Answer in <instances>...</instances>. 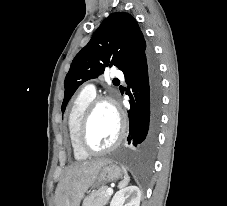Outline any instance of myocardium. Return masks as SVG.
I'll return each instance as SVG.
<instances>
[{
    "mask_svg": "<svg viewBox=\"0 0 227 206\" xmlns=\"http://www.w3.org/2000/svg\"><path fill=\"white\" fill-rule=\"evenodd\" d=\"M101 104H109L110 106L113 107V109L117 114V118L119 122V130H118V135L116 139L111 145L103 149H94L89 144L87 135H88L89 124L93 116V113L96 110V108ZM125 129H126L125 118L118 104L115 102V100L109 96H96L87 105L79 121L78 129H77V144L79 148L88 155L105 154L119 146V144L122 142L123 137L125 135Z\"/></svg>",
    "mask_w": 227,
    "mask_h": 206,
    "instance_id": "1",
    "label": "myocardium"
}]
</instances>
